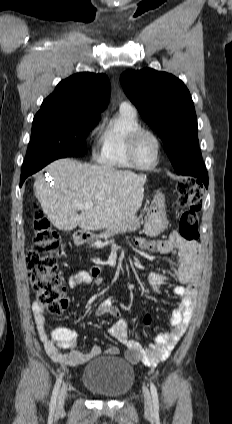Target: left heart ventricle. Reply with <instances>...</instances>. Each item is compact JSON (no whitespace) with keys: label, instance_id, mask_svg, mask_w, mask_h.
Masks as SVG:
<instances>
[{"label":"left heart ventricle","instance_id":"1","mask_svg":"<svg viewBox=\"0 0 232 424\" xmlns=\"http://www.w3.org/2000/svg\"><path fill=\"white\" fill-rule=\"evenodd\" d=\"M157 145L153 137L148 134L142 135L135 145V157L139 164L147 166L156 158Z\"/></svg>","mask_w":232,"mask_h":424}]
</instances>
